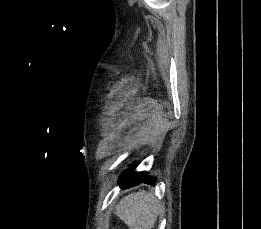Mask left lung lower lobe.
<instances>
[{
	"label": "left lung lower lobe",
	"instance_id": "1",
	"mask_svg": "<svg viewBox=\"0 0 261 229\" xmlns=\"http://www.w3.org/2000/svg\"><path fill=\"white\" fill-rule=\"evenodd\" d=\"M147 173H136L134 172V166L130 169H127L123 175L119 178V182L121 183L122 188H130L133 186H136L140 183L139 179H136L135 177H141L146 176ZM155 178L152 176H149L147 178H143V182L153 185L155 183Z\"/></svg>",
	"mask_w": 261,
	"mask_h": 229
}]
</instances>
